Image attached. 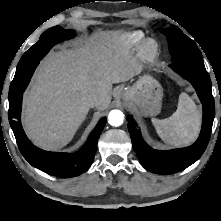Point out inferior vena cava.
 I'll use <instances>...</instances> for the list:
<instances>
[{"label": "inferior vena cava", "mask_w": 221, "mask_h": 221, "mask_svg": "<svg viewBox=\"0 0 221 221\" xmlns=\"http://www.w3.org/2000/svg\"><path fill=\"white\" fill-rule=\"evenodd\" d=\"M99 103V97L97 95H92L88 98L87 104L89 107H96Z\"/></svg>", "instance_id": "inferior-vena-cava-1"}]
</instances>
